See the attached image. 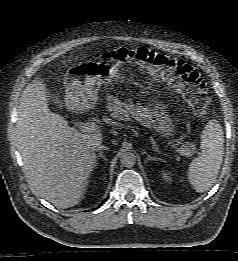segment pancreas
<instances>
[{"label":"pancreas","mask_w":238,"mask_h":261,"mask_svg":"<svg viewBox=\"0 0 238 261\" xmlns=\"http://www.w3.org/2000/svg\"><path fill=\"white\" fill-rule=\"evenodd\" d=\"M107 110L111 112V117L120 121H129L134 119L142 125L150 128L153 120L147 115V112L142 107H137L133 104H125L120 101L109 98L107 103ZM188 153L193 154L196 147L193 143L185 142L181 145Z\"/></svg>","instance_id":"cf45deb5"}]
</instances>
